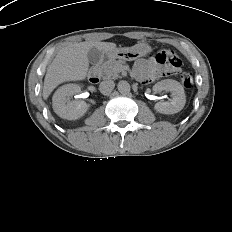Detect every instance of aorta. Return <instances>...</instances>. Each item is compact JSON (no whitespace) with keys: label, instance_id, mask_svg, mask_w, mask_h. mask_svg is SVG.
Wrapping results in <instances>:
<instances>
[{"label":"aorta","instance_id":"obj_1","mask_svg":"<svg viewBox=\"0 0 232 232\" xmlns=\"http://www.w3.org/2000/svg\"><path fill=\"white\" fill-rule=\"evenodd\" d=\"M117 87L120 93H128L130 91V84L125 80H121Z\"/></svg>","mask_w":232,"mask_h":232}]
</instances>
